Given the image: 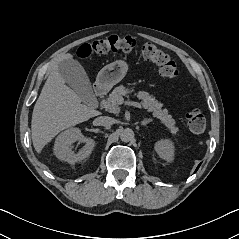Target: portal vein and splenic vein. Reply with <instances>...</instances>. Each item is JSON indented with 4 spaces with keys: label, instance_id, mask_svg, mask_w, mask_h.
<instances>
[{
    "label": "portal vein and splenic vein",
    "instance_id": "obj_1",
    "mask_svg": "<svg viewBox=\"0 0 239 239\" xmlns=\"http://www.w3.org/2000/svg\"><path fill=\"white\" fill-rule=\"evenodd\" d=\"M123 103H125L124 99H123V98H120V99H119V104L121 105V104H123ZM128 104H129V105H132V106H135V107H137V108H139V109H142L141 104L138 103V102H128Z\"/></svg>",
    "mask_w": 239,
    "mask_h": 239
}]
</instances>
